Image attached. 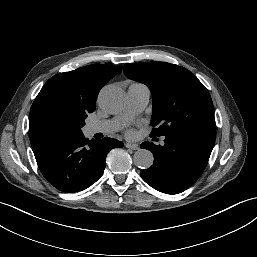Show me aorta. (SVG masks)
I'll return each instance as SVG.
<instances>
[{"label": "aorta", "instance_id": "obj_1", "mask_svg": "<svg viewBox=\"0 0 257 257\" xmlns=\"http://www.w3.org/2000/svg\"><path fill=\"white\" fill-rule=\"evenodd\" d=\"M99 104L107 112L115 113L121 110L125 104L124 92L116 86H106L99 93ZM134 164L142 169L152 166L154 157L147 149H139L133 156Z\"/></svg>", "mask_w": 257, "mask_h": 257}]
</instances>
